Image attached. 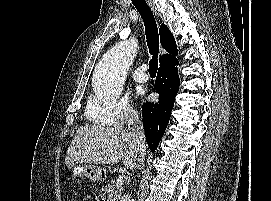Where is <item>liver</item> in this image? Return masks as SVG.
I'll return each mask as SVG.
<instances>
[{
	"instance_id": "liver-1",
	"label": "liver",
	"mask_w": 271,
	"mask_h": 201,
	"mask_svg": "<svg viewBox=\"0 0 271 201\" xmlns=\"http://www.w3.org/2000/svg\"><path fill=\"white\" fill-rule=\"evenodd\" d=\"M139 152L126 128L85 125L71 141L65 164L71 169L78 163L116 164L122 159L127 169H133L138 164Z\"/></svg>"
}]
</instances>
